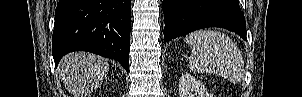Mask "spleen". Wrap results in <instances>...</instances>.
<instances>
[{"instance_id": "3e777b00", "label": "spleen", "mask_w": 302, "mask_h": 97, "mask_svg": "<svg viewBox=\"0 0 302 97\" xmlns=\"http://www.w3.org/2000/svg\"><path fill=\"white\" fill-rule=\"evenodd\" d=\"M192 53L188 66L194 73H214L232 83H241L244 61L228 35L215 30H198L185 37Z\"/></svg>"}]
</instances>
